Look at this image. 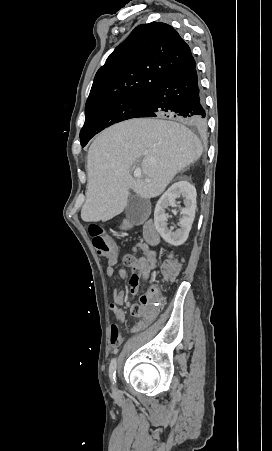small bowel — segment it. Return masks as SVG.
Instances as JSON below:
<instances>
[{
	"label": "small bowel",
	"mask_w": 272,
	"mask_h": 451,
	"mask_svg": "<svg viewBox=\"0 0 272 451\" xmlns=\"http://www.w3.org/2000/svg\"><path fill=\"white\" fill-rule=\"evenodd\" d=\"M134 252H141V256H144L145 261L151 262V269L148 270V274H131L128 276V273L125 268L122 270H109L107 265L106 275L108 277L116 276L120 280H125L128 278V284L130 288V293L132 296H137L139 292L140 281H145L149 274L154 271L158 264V254L155 250H153L147 243L139 242L134 248ZM118 256V255H115ZM130 263V261H129ZM147 295V294H145ZM113 303L109 304V310L115 317L117 323L121 324L125 321V312L123 310V306L126 302V294L123 290L115 289L113 293ZM133 305L131 306V313L133 316H144L146 317L147 313H133L132 310Z\"/></svg>",
	"instance_id": "obj_1"
}]
</instances>
